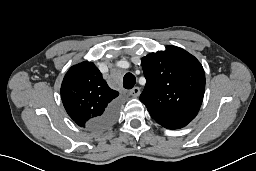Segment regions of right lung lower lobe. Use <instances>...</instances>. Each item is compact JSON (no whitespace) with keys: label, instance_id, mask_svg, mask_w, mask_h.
Instances as JSON below:
<instances>
[{"label":"right lung lower lobe","instance_id":"98d812e1","mask_svg":"<svg viewBox=\"0 0 256 171\" xmlns=\"http://www.w3.org/2000/svg\"><path fill=\"white\" fill-rule=\"evenodd\" d=\"M119 111V106L117 102L113 103L105 112L98 117L96 120H94L93 124L98 129H104L109 126H111L117 117Z\"/></svg>","mask_w":256,"mask_h":171}]
</instances>
